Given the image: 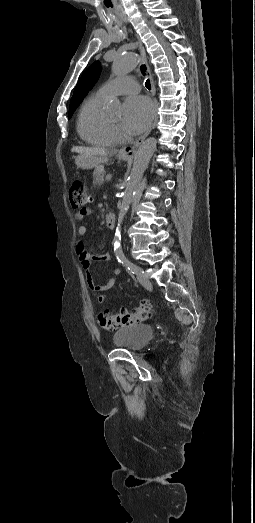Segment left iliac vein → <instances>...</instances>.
Segmentation results:
<instances>
[{
    "instance_id": "left-iliac-vein-1",
    "label": "left iliac vein",
    "mask_w": 255,
    "mask_h": 523,
    "mask_svg": "<svg viewBox=\"0 0 255 523\" xmlns=\"http://www.w3.org/2000/svg\"><path fill=\"white\" fill-rule=\"evenodd\" d=\"M137 279L139 281V283L145 287L146 289L148 290H151L152 289V284L151 282L143 275V271H141V273L137 274Z\"/></svg>"
}]
</instances>
